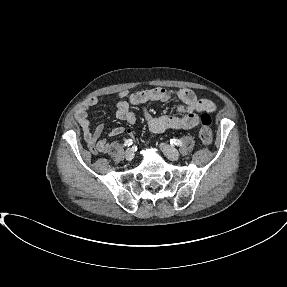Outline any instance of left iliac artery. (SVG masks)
<instances>
[{
	"instance_id": "obj_1",
	"label": "left iliac artery",
	"mask_w": 287,
	"mask_h": 287,
	"mask_svg": "<svg viewBox=\"0 0 287 287\" xmlns=\"http://www.w3.org/2000/svg\"><path fill=\"white\" fill-rule=\"evenodd\" d=\"M170 144L181 146L182 145V141L179 140V139L173 138V139H170Z\"/></svg>"
}]
</instances>
